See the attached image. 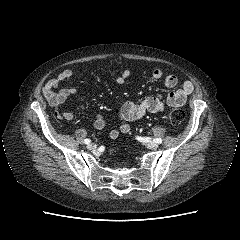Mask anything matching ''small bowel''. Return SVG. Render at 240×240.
Instances as JSON below:
<instances>
[{"label": "small bowel", "instance_id": "1", "mask_svg": "<svg viewBox=\"0 0 240 240\" xmlns=\"http://www.w3.org/2000/svg\"><path fill=\"white\" fill-rule=\"evenodd\" d=\"M72 76L73 71L66 69L45 83L43 90L50 105L54 107L60 106L69 97L75 95L79 88L89 85L88 81H83L80 85L59 88L64 81L70 79ZM129 77L130 71L125 70L116 77V82L118 84H123ZM152 77L155 80H162L168 88H174L179 83L178 78L175 75L167 74L161 69L153 70ZM193 90V84L190 81H184L181 83L179 89L166 95H151L140 102H125L116 112L121 124L118 129L111 130L110 138L116 139L120 133H129L130 126L128 123L143 117L146 113H160L164 110L165 105L172 107H180L184 105ZM62 117L65 120H72L74 114L71 111H64ZM94 126L99 131L104 128L105 120L102 115H97L95 117Z\"/></svg>", "mask_w": 240, "mask_h": 240}]
</instances>
